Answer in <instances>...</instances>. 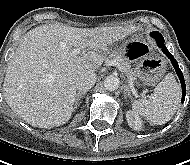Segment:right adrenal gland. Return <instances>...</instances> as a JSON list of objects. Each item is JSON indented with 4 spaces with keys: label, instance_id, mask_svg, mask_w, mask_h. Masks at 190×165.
<instances>
[{
    "label": "right adrenal gland",
    "instance_id": "1",
    "mask_svg": "<svg viewBox=\"0 0 190 165\" xmlns=\"http://www.w3.org/2000/svg\"><path fill=\"white\" fill-rule=\"evenodd\" d=\"M85 94V92H79L77 95H76V98H75V104H74V109L77 108L82 96Z\"/></svg>",
    "mask_w": 190,
    "mask_h": 165
}]
</instances>
